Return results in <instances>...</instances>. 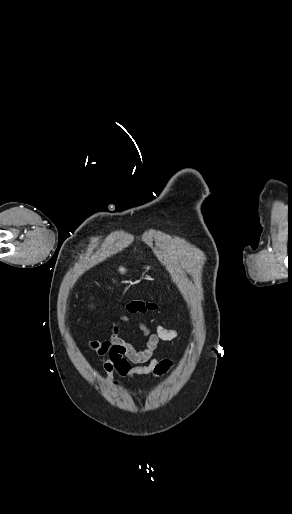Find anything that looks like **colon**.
Returning <instances> with one entry per match:
<instances>
[{
    "mask_svg": "<svg viewBox=\"0 0 292 514\" xmlns=\"http://www.w3.org/2000/svg\"><path fill=\"white\" fill-rule=\"evenodd\" d=\"M126 309L129 313H148L154 311L156 305L148 300L133 299L127 303Z\"/></svg>",
    "mask_w": 292,
    "mask_h": 514,
    "instance_id": "obj_1",
    "label": "colon"
}]
</instances>
